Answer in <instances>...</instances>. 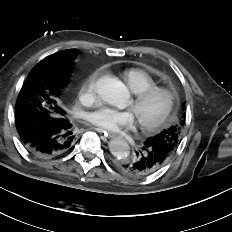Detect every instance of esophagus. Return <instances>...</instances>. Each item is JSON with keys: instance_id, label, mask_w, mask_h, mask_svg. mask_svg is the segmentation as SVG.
Instances as JSON below:
<instances>
[{"instance_id": "34e87169", "label": "esophagus", "mask_w": 232, "mask_h": 232, "mask_svg": "<svg viewBox=\"0 0 232 232\" xmlns=\"http://www.w3.org/2000/svg\"><path fill=\"white\" fill-rule=\"evenodd\" d=\"M93 129L103 134L105 138H112L114 136V134L110 133L109 131L107 132L106 130H103L97 127H94Z\"/></svg>"}]
</instances>
